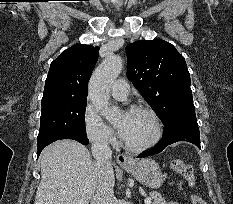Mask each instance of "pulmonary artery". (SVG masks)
I'll use <instances>...</instances> for the list:
<instances>
[{
  "mask_svg": "<svg viewBox=\"0 0 233 204\" xmlns=\"http://www.w3.org/2000/svg\"><path fill=\"white\" fill-rule=\"evenodd\" d=\"M129 93V85L123 79L116 80L111 87V94L118 100H125Z\"/></svg>",
  "mask_w": 233,
  "mask_h": 204,
  "instance_id": "1",
  "label": "pulmonary artery"
}]
</instances>
